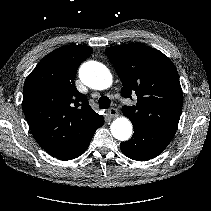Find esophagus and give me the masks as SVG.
I'll return each mask as SVG.
<instances>
[{
	"label": "esophagus",
	"mask_w": 211,
	"mask_h": 211,
	"mask_svg": "<svg viewBox=\"0 0 211 211\" xmlns=\"http://www.w3.org/2000/svg\"><path fill=\"white\" fill-rule=\"evenodd\" d=\"M108 114L111 117H116V116H118V110L116 108L112 107L109 109Z\"/></svg>",
	"instance_id": "34e87169"
}]
</instances>
